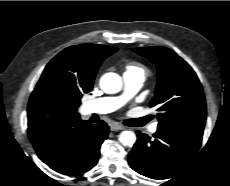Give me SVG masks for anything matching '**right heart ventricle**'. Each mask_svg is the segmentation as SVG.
I'll use <instances>...</instances> for the list:
<instances>
[{
  "label": "right heart ventricle",
  "mask_w": 230,
  "mask_h": 186,
  "mask_svg": "<svg viewBox=\"0 0 230 186\" xmlns=\"http://www.w3.org/2000/svg\"><path fill=\"white\" fill-rule=\"evenodd\" d=\"M126 72L142 73L145 76L147 69L138 62H130L126 66Z\"/></svg>",
  "instance_id": "1"
}]
</instances>
